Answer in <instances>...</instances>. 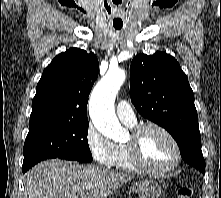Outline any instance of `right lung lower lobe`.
Wrapping results in <instances>:
<instances>
[{"label":"right lung lower lobe","mask_w":221,"mask_h":198,"mask_svg":"<svg viewBox=\"0 0 221 198\" xmlns=\"http://www.w3.org/2000/svg\"><path fill=\"white\" fill-rule=\"evenodd\" d=\"M54 158H60V159H66V160H74V161H77L75 159H72V158H66V157H54ZM32 167V166H31ZM31 167H28V168H25V169H22V171L25 173L27 172Z\"/></svg>","instance_id":"1"}]
</instances>
